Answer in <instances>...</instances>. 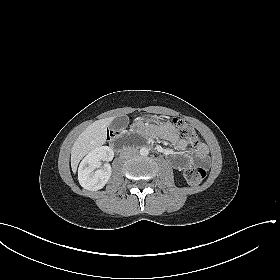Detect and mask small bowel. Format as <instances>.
I'll return each instance as SVG.
<instances>
[{"label": "small bowel", "instance_id": "c3829d8e", "mask_svg": "<svg viewBox=\"0 0 280 280\" xmlns=\"http://www.w3.org/2000/svg\"><path fill=\"white\" fill-rule=\"evenodd\" d=\"M162 133L170 142L175 144L179 150L184 151L187 148V142L178 137L175 128L171 124H165L162 128ZM195 160L203 165L209 164L208 147L204 143H200L194 152L187 153L184 160L176 162L175 167L178 170H184Z\"/></svg>", "mask_w": 280, "mask_h": 280}]
</instances>
